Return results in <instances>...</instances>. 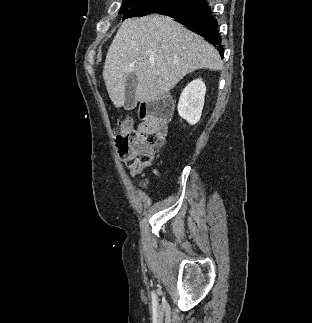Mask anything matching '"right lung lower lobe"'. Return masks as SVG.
I'll list each match as a JSON object with an SVG mask.
<instances>
[{
	"label": "right lung lower lobe",
	"mask_w": 312,
	"mask_h": 323,
	"mask_svg": "<svg viewBox=\"0 0 312 323\" xmlns=\"http://www.w3.org/2000/svg\"><path fill=\"white\" fill-rule=\"evenodd\" d=\"M164 15L175 18V20L195 33L203 36L209 43L213 44L224 55L222 39L218 30V23L213 15L212 8L206 0H191L188 4Z\"/></svg>",
	"instance_id": "obj_1"
}]
</instances>
